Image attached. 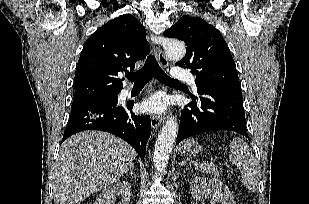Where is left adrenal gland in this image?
Segmentation results:
<instances>
[{
    "label": "left adrenal gland",
    "instance_id": "left-adrenal-gland-1",
    "mask_svg": "<svg viewBox=\"0 0 309 204\" xmlns=\"http://www.w3.org/2000/svg\"><path fill=\"white\" fill-rule=\"evenodd\" d=\"M180 164L183 165V166H185V162H182V163H180ZM186 170H187V169H186ZM186 170H185V171H186Z\"/></svg>",
    "mask_w": 309,
    "mask_h": 204
}]
</instances>
